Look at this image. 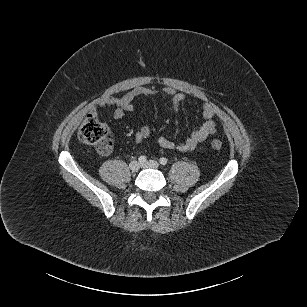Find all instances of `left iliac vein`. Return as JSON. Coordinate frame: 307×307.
Segmentation results:
<instances>
[{
    "label": "left iliac vein",
    "instance_id": "4c4485c4",
    "mask_svg": "<svg viewBox=\"0 0 307 307\" xmlns=\"http://www.w3.org/2000/svg\"><path fill=\"white\" fill-rule=\"evenodd\" d=\"M142 168H153V169H157L159 167V163L155 160H149L145 163L141 164Z\"/></svg>",
    "mask_w": 307,
    "mask_h": 307
}]
</instances>
